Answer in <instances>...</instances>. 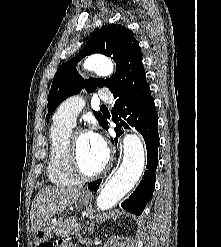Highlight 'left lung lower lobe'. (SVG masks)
Masks as SVG:
<instances>
[{"mask_svg": "<svg viewBox=\"0 0 221 247\" xmlns=\"http://www.w3.org/2000/svg\"><path fill=\"white\" fill-rule=\"evenodd\" d=\"M112 120L116 123L115 132L120 136L124 128H135L146 142L147 166L143 179L135 191L126 199L121 207L126 211L139 216L147 202L152 198L155 187V171L158 164V119L154 99L151 92L133 96L125 100H116L112 109ZM103 128L108 130L107 119ZM117 141V139H116ZM102 180L88 184L91 191H97Z\"/></svg>", "mask_w": 221, "mask_h": 247, "instance_id": "0a47b994", "label": "left lung lower lobe"}]
</instances>
